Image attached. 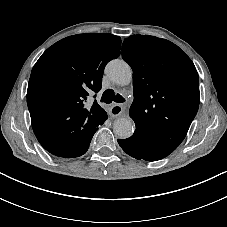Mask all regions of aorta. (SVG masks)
<instances>
[{
    "label": "aorta",
    "instance_id": "obj_1",
    "mask_svg": "<svg viewBox=\"0 0 227 227\" xmlns=\"http://www.w3.org/2000/svg\"><path fill=\"white\" fill-rule=\"evenodd\" d=\"M110 80L118 85H127L132 80V70L123 60L115 59L110 61L105 69ZM134 121L130 117H121L114 122L113 130L121 139L132 136L134 132Z\"/></svg>",
    "mask_w": 227,
    "mask_h": 227
}]
</instances>
